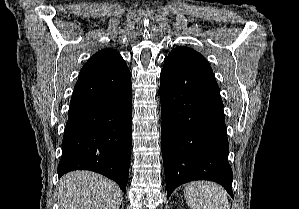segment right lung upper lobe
<instances>
[{"instance_id": "right-lung-upper-lobe-1", "label": "right lung upper lobe", "mask_w": 299, "mask_h": 209, "mask_svg": "<svg viewBox=\"0 0 299 209\" xmlns=\"http://www.w3.org/2000/svg\"><path fill=\"white\" fill-rule=\"evenodd\" d=\"M104 69H113L118 75L129 73L128 67L115 50L106 48L95 53L82 67L81 71H97Z\"/></svg>"}]
</instances>
